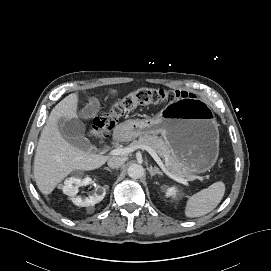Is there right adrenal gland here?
<instances>
[{
  "mask_svg": "<svg viewBox=\"0 0 271 271\" xmlns=\"http://www.w3.org/2000/svg\"><path fill=\"white\" fill-rule=\"evenodd\" d=\"M104 170H107V171H109L110 173H112V170H111L110 168H108V167H104Z\"/></svg>",
  "mask_w": 271,
  "mask_h": 271,
  "instance_id": "2a0ac1e0",
  "label": "right adrenal gland"
}]
</instances>
